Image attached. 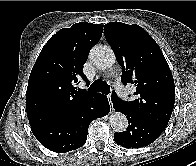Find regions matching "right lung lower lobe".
<instances>
[{"label": "right lung lower lobe", "instance_id": "98d812e1", "mask_svg": "<svg viewBox=\"0 0 196 166\" xmlns=\"http://www.w3.org/2000/svg\"><path fill=\"white\" fill-rule=\"evenodd\" d=\"M109 110L107 97L99 93L83 104L73 115L31 127V130L37 140L47 149L58 153L69 152L85 144L90 122L107 115Z\"/></svg>", "mask_w": 196, "mask_h": 166}]
</instances>
